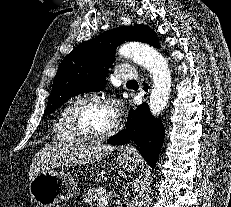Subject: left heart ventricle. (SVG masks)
<instances>
[{
  "label": "left heart ventricle",
  "instance_id": "left-heart-ventricle-1",
  "mask_svg": "<svg viewBox=\"0 0 231 207\" xmlns=\"http://www.w3.org/2000/svg\"><path fill=\"white\" fill-rule=\"evenodd\" d=\"M77 120L81 127L91 134H99L107 131L115 121L112 108L101 103H87L78 113Z\"/></svg>",
  "mask_w": 231,
  "mask_h": 207
}]
</instances>
